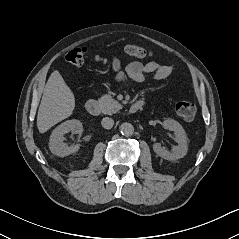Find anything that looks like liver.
<instances>
[{"instance_id":"obj_1","label":"liver","mask_w":239,"mask_h":239,"mask_svg":"<svg viewBox=\"0 0 239 239\" xmlns=\"http://www.w3.org/2000/svg\"><path fill=\"white\" fill-rule=\"evenodd\" d=\"M75 108L73 92L61 74L55 70L49 77L38 109L37 128L44 133L60 121L68 118Z\"/></svg>"}]
</instances>
